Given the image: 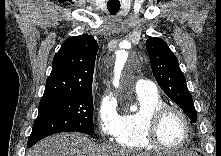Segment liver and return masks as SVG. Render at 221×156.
I'll list each match as a JSON object with an SVG mask.
<instances>
[{"instance_id":"obj_1","label":"liver","mask_w":221,"mask_h":156,"mask_svg":"<svg viewBox=\"0 0 221 156\" xmlns=\"http://www.w3.org/2000/svg\"><path fill=\"white\" fill-rule=\"evenodd\" d=\"M27 156H151L112 145L97 144L81 133H60L38 142Z\"/></svg>"}]
</instances>
